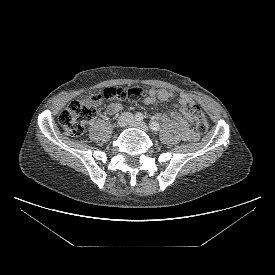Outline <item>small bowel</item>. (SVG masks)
I'll return each instance as SVG.
<instances>
[{
	"instance_id": "1",
	"label": "small bowel",
	"mask_w": 275,
	"mask_h": 275,
	"mask_svg": "<svg viewBox=\"0 0 275 275\" xmlns=\"http://www.w3.org/2000/svg\"><path fill=\"white\" fill-rule=\"evenodd\" d=\"M176 93L165 89H152L149 91L148 96L145 98V103L153 104L157 101L164 102L174 98ZM193 98L187 94H181L178 100L174 103L171 118L178 124L182 137L186 141H195L197 134L191 128L192 116L189 108L194 106ZM122 109V104L113 102L108 105L107 112L110 115L117 114Z\"/></svg>"
}]
</instances>
